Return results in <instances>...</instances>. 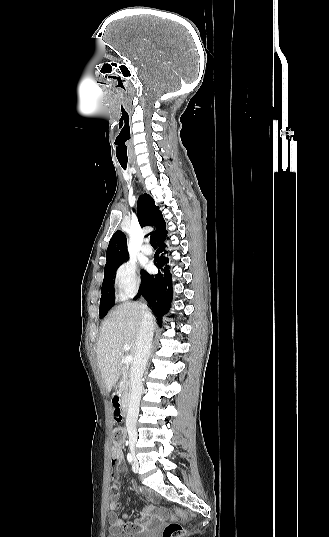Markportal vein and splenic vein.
<instances>
[{"label": "portal vein and splenic vein", "mask_w": 329, "mask_h": 537, "mask_svg": "<svg viewBox=\"0 0 329 537\" xmlns=\"http://www.w3.org/2000/svg\"><path fill=\"white\" fill-rule=\"evenodd\" d=\"M123 348H124V350L129 351L130 346H129L128 344H124ZM132 361H133V357H132V356H127L126 359H125V363H126V364H129V363H131Z\"/></svg>", "instance_id": "18ae733b"}]
</instances>
